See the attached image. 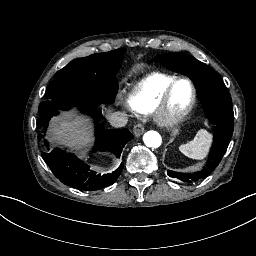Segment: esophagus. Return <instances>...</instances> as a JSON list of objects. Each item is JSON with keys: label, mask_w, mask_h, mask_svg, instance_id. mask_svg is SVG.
<instances>
[{"label": "esophagus", "mask_w": 256, "mask_h": 256, "mask_svg": "<svg viewBox=\"0 0 256 256\" xmlns=\"http://www.w3.org/2000/svg\"><path fill=\"white\" fill-rule=\"evenodd\" d=\"M133 132L135 136H141L144 132V126L141 123H137L134 125Z\"/></svg>", "instance_id": "1"}]
</instances>
